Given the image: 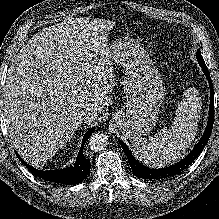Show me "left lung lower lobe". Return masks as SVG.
Returning <instances> with one entry per match:
<instances>
[{"mask_svg":"<svg viewBox=\"0 0 219 219\" xmlns=\"http://www.w3.org/2000/svg\"><path fill=\"white\" fill-rule=\"evenodd\" d=\"M199 65L202 67V71L204 72L210 86V112H209V118H208V124L206 127V130L199 140L198 144L195 146V148L190 152V154L185 157L182 161L178 162L177 164L167 167V168H161V169H150L143 165H141L132 155L129 148L121 141L119 140V143L124 150L127 159L129 161V164L132 168L133 173L143 179L147 180H160V179H167L170 177H173L179 173H181L184 169H186L192 162L195 160V158L202 152L205 145L207 144L209 137L212 132L213 128V122H214V91H213V85L212 80L210 77V74L208 72V68L206 67V64L202 60H198Z\"/></svg>","mask_w":219,"mask_h":219,"instance_id":"obj_1","label":"left lung lower lobe"}]
</instances>
